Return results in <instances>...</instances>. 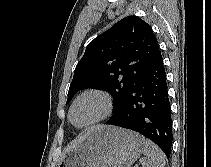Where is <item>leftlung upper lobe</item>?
<instances>
[{
    "label": "left lung upper lobe",
    "mask_w": 211,
    "mask_h": 167,
    "mask_svg": "<svg viewBox=\"0 0 211 167\" xmlns=\"http://www.w3.org/2000/svg\"><path fill=\"white\" fill-rule=\"evenodd\" d=\"M158 52V41L149 24L137 16L120 20L87 46L75 68L67 103L80 89H105L113 95L116 116Z\"/></svg>",
    "instance_id": "1"
}]
</instances>
